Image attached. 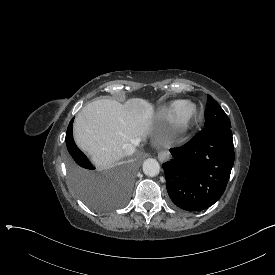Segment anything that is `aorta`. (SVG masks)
Listing matches in <instances>:
<instances>
[{
	"instance_id": "aorta-1",
	"label": "aorta",
	"mask_w": 275,
	"mask_h": 275,
	"mask_svg": "<svg viewBox=\"0 0 275 275\" xmlns=\"http://www.w3.org/2000/svg\"><path fill=\"white\" fill-rule=\"evenodd\" d=\"M160 165L156 159L148 158L143 162V172L145 175L154 177L159 174Z\"/></svg>"
}]
</instances>
